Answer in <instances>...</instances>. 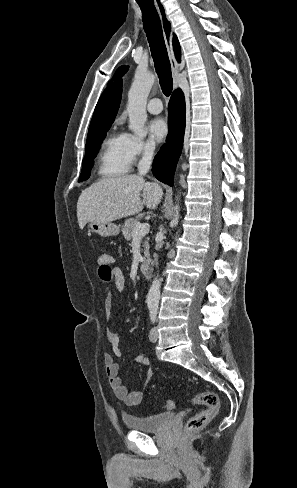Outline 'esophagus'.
Segmentation results:
<instances>
[{"label":"esophagus","instance_id":"1","mask_svg":"<svg viewBox=\"0 0 297 488\" xmlns=\"http://www.w3.org/2000/svg\"><path fill=\"white\" fill-rule=\"evenodd\" d=\"M155 6L158 11L160 20H161V26H162V31H163V36L165 40V45L167 48L171 68H172V75H173V80H174V88L176 89L178 87V76L180 73V66L175 58L174 51H173V43H172V26L171 23L167 17L166 9L164 4L160 0L155 1Z\"/></svg>","mask_w":297,"mask_h":488}]
</instances>
